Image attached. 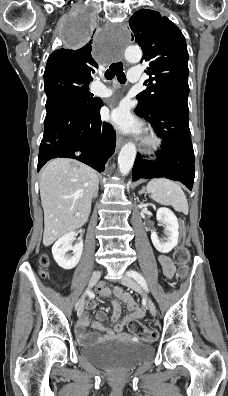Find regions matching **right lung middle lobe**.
Segmentation results:
<instances>
[{
  "label": "right lung middle lobe",
  "instance_id": "right-lung-middle-lobe-1",
  "mask_svg": "<svg viewBox=\"0 0 228 396\" xmlns=\"http://www.w3.org/2000/svg\"><path fill=\"white\" fill-rule=\"evenodd\" d=\"M76 24H80V33L73 39L75 44H81L89 39L94 29V24L83 18L76 17ZM90 80L75 75L44 76V90L47 95V115L57 109L68 105L89 106L95 102L89 92Z\"/></svg>",
  "mask_w": 228,
  "mask_h": 396
}]
</instances>
